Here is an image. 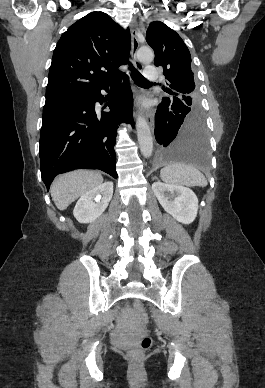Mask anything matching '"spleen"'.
Returning a JSON list of instances; mask_svg holds the SVG:
<instances>
[{
    "label": "spleen",
    "mask_w": 265,
    "mask_h": 388,
    "mask_svg": "<svg viewBox=\"0 0 265 388\" xmlns=\"http://www.w3.org/2000/svg\"><path fill=\"white\" fill-rule=\"evenodd\" d=\"M160 178L166 184H174V186H207V180L203 174L183 162H171L165 168L160 170Z\"/></svg>",
    "instance_id": "spleen-1"
}]
</instances>
